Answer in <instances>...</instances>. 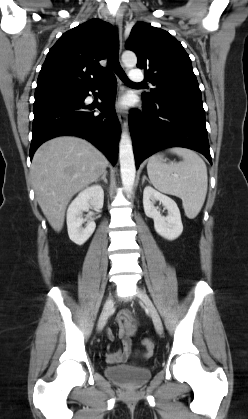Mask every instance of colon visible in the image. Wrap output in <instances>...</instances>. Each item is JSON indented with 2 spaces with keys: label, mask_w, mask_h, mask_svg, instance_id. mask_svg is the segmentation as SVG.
Instances as JSON below:
<instances>
[{
  "label": "colon",
  "mask_w": 248,
  "mask_h": 419,
  "mask_svg": "<svg viewBox=\"0 0 248 419\" xmlns=\"http://www.w3.org/2000/svg\"><path fill=\"white\" fill-rule=\"evenodd\" d=\"M142 346L147 352H152L154 349V342L151 339L145 338L142 340Z\"/></svg>",
  "instance_id": "colon-1"
}]
</instances>
